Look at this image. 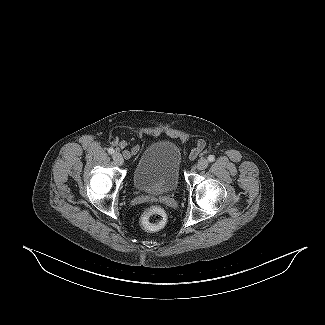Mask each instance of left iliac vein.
Here are the masks:
<instances>
[{
	"label": "left iliac vein",
	"instance_id": "1",
	"mask_svg": "<svg viewBox=\"0 0 325 325\" xmlns=\"http://www.w3.org/2000/svg\"><path fill=\"white\" fill-rule=\"evenodd\" d=\"M207 166H208V161L205 158H202L197 162L196 168L198 170H204L207 168Z\"/></svg>",
	"mask_w": 325,
	"mask_h": 325
}]
</instances>
